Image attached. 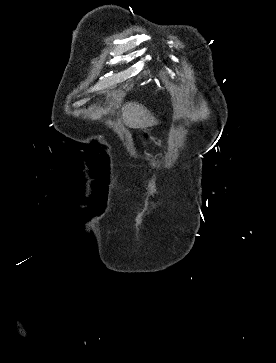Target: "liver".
Masks as SVG:
<instances>
[{"instance_id": "1", "label": "liver", "mask_w": 276, "mask_h": 363, "mask_svg": "<svg viewBox=\"0 0 276 363\" xmlns=\"http://www.w3.org/2000/svg\"><path fill=\"white\" fill-rule=\"evenodd\" d=\"M122 118L125 125L134 129H144L158 123L144 106L135 102L127 103L122 108Z\"/></svg>"}]
</instances>
